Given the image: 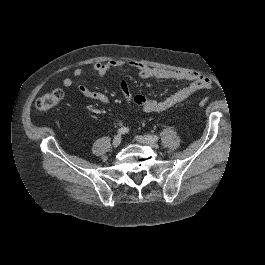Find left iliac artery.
<instances>
[{"label":"left iliac artery","mask_w":265,"mask_h":265,"mask_svg":"<svg viewBox=\"0 0 265 265\" xmlns=\"http://www.w3.org/2000/svg\"><path fill=\"white\" fill-rule=\"evenodd\" d=\"M148 137H150L154 141H158L159 140V137L157 135H148Z\"/></svg>","instance_id":"left-iliac-artery-1"}]
</instances>
